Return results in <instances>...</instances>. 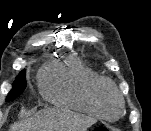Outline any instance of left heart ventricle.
Segmentation results:
<instances>
[{"mask_svg": "<svg viewBox=\"0 0 151 131\" xmlns=\"http://www.w3.org/2000/svg\"><path fill=\"white\" fill-rule=\"evenodd\" d=\"M105 107L110 115H115L118 111V102L113 96L107 97Z\"/></svg>", "mask_w": 151, "mask_h": 131, "instance_id": "1", "label": "left heart ventricle"}]
</instances>
